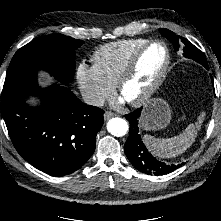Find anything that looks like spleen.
Listing matches in <instances>:
<instances>
[{
    "mask_svg": "<svg viewBox=\"0 0 221 221\" xmlns=\"http://www.w3.org/2000/svg\"><path fill=\"white\" fill-rule=\"evenodd\" d=\"M204 119L205 113L203 112L195 124H189L182 133L171 138H155L151 135H145L143 140L153 155L159 158L176 157L194 143Z\"/></svg>",
    "mask_w": 221,
    "mask_h": 221,
    "instance_id": "obj_1",
    "label": "spleen"
}]
</instances>
